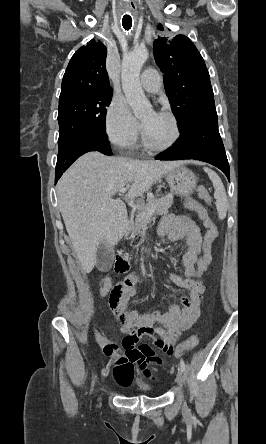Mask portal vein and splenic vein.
<instances>
[{
  "instance_id": "1",
  "label": "portal vein and splenic vein",
  "mask_w": 266,
  "mask_h": 444,
  "mask_svg": "<svg viewBox=\"0 0 266 444\" xmlns=\"http://www.w3.org/2000/svg\"><path fill=\"white\" fill-rule=\"evenodd\" d=\"M127 187H124V188H121L120 190H119V195L121 196V195H123L124 193H126L127 192ZM155 208H156V206H152L151 207V209L146 213V214H139L138 216H141V217H144V218H147V217H149V216H151L153 213H154V211H155Z\"/></svg>"
}]
</instances>
